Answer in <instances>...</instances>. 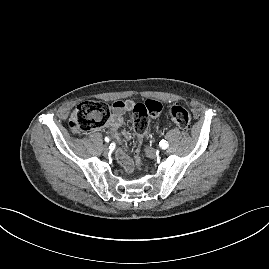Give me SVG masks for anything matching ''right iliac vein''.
<instances>
[{
    "mask_svg": "<svg viewBox=\"0 0 269 269\" xmlns=\"http://www.w3.org/2000/svg\"><path fill=\"white\" fill-rule=\"evenodd\" d=\"M103 149H104V151H109V145L108 144H104L103 145Z\"/></svg>",
    "mask_w": 269,
    "mask_h": 269,
    "instance_id": "obj_1",
    "label": "right iliac vein"
}]
</instances>
